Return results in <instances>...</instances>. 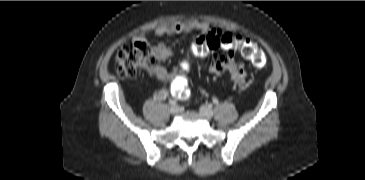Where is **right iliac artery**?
Instances as JSON below:
<instances>
[{
  "label": "right iliac artery",
  "instance_id": "obj_1",
  "mask_svg": "<svg viewBox=\"0 0 365 180\" xmlns=\"http://www.w3.org/2000/svg\"><path fill=\"white\" fill-rule=\"evenodd\" d=\"M169 104L172 105V106H175L177 104V102L175 100H170Z\"/></svg>",
  "mask_w": 365,
  "mask_h": 180
}]
</instances>
